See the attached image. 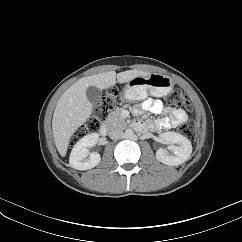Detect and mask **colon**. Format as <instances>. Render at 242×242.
<instances>
[{"label":"colon","instance_id":"1","mask_svg":"<svg viewBox=\"0 0 242 242\" xmlns=\"http://www.w3.org/2000/svg\"><path fill=\"white\" fill-rule=\"evenodd\" d=\"M116 98L117 92L115 90H109L103 97L100 104L95 108L90 118L73 134L71 141L76 142L87 134L98 132L102 123L107 119L109 113L115 108ZM167 102L169 105L180 109H191L188 100L180 90L173 91L168 96ZM180 131L189 140L195 139V128L192 122L183 124Z\"/></svg>","mask_w":242,"mask_h":242}]
</instances>
